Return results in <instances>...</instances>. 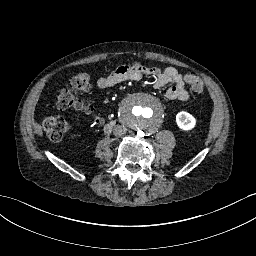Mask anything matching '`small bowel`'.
I'll list each match as a JSON object with an SVG mask.
<instances>
[{"instance_id":"c3829d8e","label":"small bowel","mask_w":256,"mask_h":256,"mask_svg":"<svg viewBox=\"0 0 256 256\" xmlns=\"http://www.w3.org/2000/svg\"><path fill=\"white\" fill-rule=\"evenodd\" d=\"M142 75H149L155 78V88L163 89L169 83L173 85L166 90V98L169 100L186 101L189 93L186 89L185 77L174 67L164 69L151 67L134 62L124 64L107 75L101 76L97 85L99 88H112L126 80H139Z\"/></svg>"}]
</instances>
